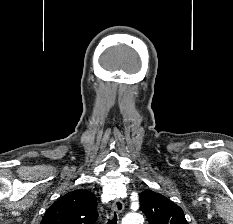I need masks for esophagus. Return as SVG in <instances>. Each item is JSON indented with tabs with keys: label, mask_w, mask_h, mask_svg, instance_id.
<instances>
[{
	"label": "esophagus",
	"mask_w": 233,
	"mask_h": 224,
	"mask_svg": "<svg viewBox=\"0 0 233 224\" xmlns=\"http://www.w3.org/2000/svg\"><path fill=\"white\" fill-rule=\"evenodd\" d=\"M114 210L117 213H122L123 212V210H124V203L122 202V200H120V199L115 200V202H114Z\"/></svg>",
	"instance_id": "1"
}]
</instances>
